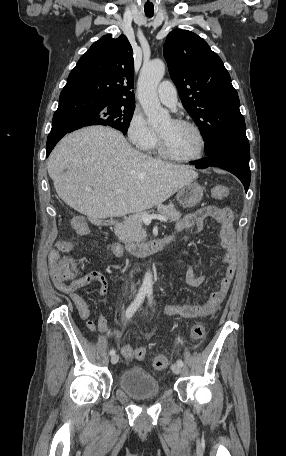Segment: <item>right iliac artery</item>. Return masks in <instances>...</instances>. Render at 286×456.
<instances>
[{"label": "right iliac artery", "instance_id": "1", "mask_svg": "<svg viewBox=\"0 0 286 456\" xmlns=\"http://www.w3.org/2000/svg\"><path fill=\"white\" fill-rule=\"evenodd\" d=\"M147 294L146 290H139L135 300L129 305V307L126 310L125 317L126 319H130L134 313L137 311V309L140 307V305L143 303L145 296ZM109 354L112 356L115 354V350L111 349Z\"/></svg>", "mask_w": 286, "mask_h": 456}]
</instances>
